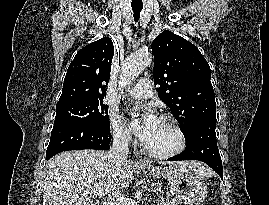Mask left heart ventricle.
<instances>
[{"label": "left heart ventricle", "instance_id": "left-heart-ventricle-1", "mask_svg": "<svg viewBox=\"0 0 269 205\" xmlns=\"http://www.w3.org/2000/svg\"><path fill=\"white\" fill-rule=\"evenodd\" d=\"M144 144L153 151L167 152L178 146V136L168 122L160 119L154 133Z\"/></svg>", "mask_w": 269, "mask_h": 205}]
</instances>
